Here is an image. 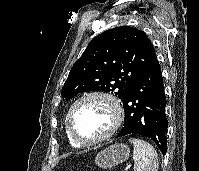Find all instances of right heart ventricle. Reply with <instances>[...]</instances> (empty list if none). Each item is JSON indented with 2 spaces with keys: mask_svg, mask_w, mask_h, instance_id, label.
Returning a JSON list of instances; mask_svg holds the SVG:
<instances>
[{
  "mask_svg": "<svg viewBox=\"0 0 199 171\" xmlns=\"http://www.w3.org/2000/svg\"><path fill=\"white\" fill-rule=\"evenodd\" d=\"M66 136H67V139H68L69 143H70L73 147H81L80 144H78L77 142H75V141L70 137V135H69L68 132H67V128H66Z\"/></svg>",
  "mask_w": 199,
  "mask_h": 171,
  "instance_id": "obj_1",
  "label": "right heart ventricle"
}]
</instances>
